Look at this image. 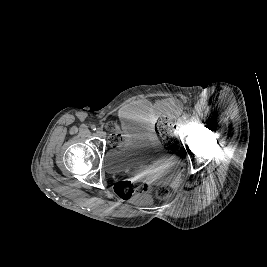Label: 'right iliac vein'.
Returning <instances> with one entry per match:
<instances>
[{
	"instance_id": "right-iliac-vein-1",
	"label": "right iliac vein",
	"mask_w": 267,
	"mask_h": 267,
	"mask_svg": "<svg viewBox=\"0 0 267 267\" xmlns=\"http://www.w3.org/2000/svg\"><path fill=\"white\" fill-rule=\"evenodd\" d=\"M96 134H97L99 137H102L104 133H103V131H102L101 129H97Z\"/></svg>"
}]
</instances>
